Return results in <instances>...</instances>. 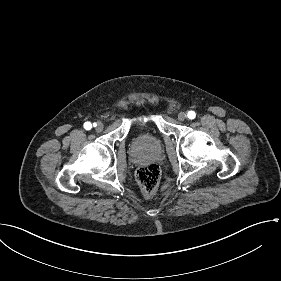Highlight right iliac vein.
I'll return each instance as SVG.
<instances>
[{"mask_svg":"<svg viewBox=\"0 0 281 281\" xmlns=\"http://www.w3.org/2000/svg\"><path fill=\"white\" fill-rule=\"evenodd\" d=\"M104 126L101 122H98L96 125H95V129L97 132H101L103 130Z\"/></svg>","mask_w":281,"mask_h":281,"instance_id":"right-iliac-vein-1","label":"right iliac vein"}]
</instances>
